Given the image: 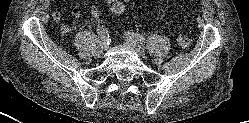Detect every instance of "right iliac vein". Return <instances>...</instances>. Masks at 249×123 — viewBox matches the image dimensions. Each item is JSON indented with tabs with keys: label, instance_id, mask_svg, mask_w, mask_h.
Wrapping results in <instances>:
<instances>
[{
	"label": "right iliac vein",
	"instance_id": "right-iliac-vein-1",
	"mask_svg": "<svg viewBox=\"0 0 249 123\" xmlns=\"http://www.w3.org/2000/svg\"><path fill=\"white\" fill-rule=\"evenodd\" d=\"M109 48V43H107V42H101V44H100V49L102 50V51H106L107 49Z\"/></svg>",
	"mask_w": 249,
	"mask_h": 123
}]
</instances>
